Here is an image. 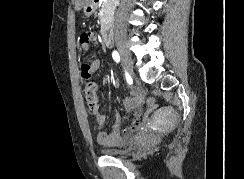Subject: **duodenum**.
<instances>
[{"label":"duodenum","instance_id":"duodenum-1","mask_svg":"<svg viewBox=\"0 0 244 179\" xmlns=\"http://www.w3.org/2000/svg\"><path fill=\"white\" fill-rule=\"evenodd\" d=\"M100 2H101V0H94L93 5L97 6ZM101 35H102L104 43L107 46H112L114 44L113 31L109 27L108 23L104 24Z\"/></svg>","mask_w":244,"mask_h":179}]
</instances>
